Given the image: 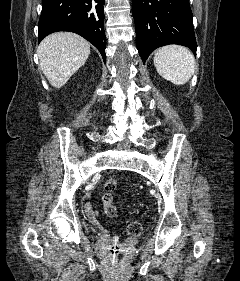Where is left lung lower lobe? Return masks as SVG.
Here are the masks:
<instances>
[{"mask_svg":"<svg viewBox=\"0 0 240 281\" xmlns=\"http://www.w3.org/2000/svg\"><path fill=\"white\" fill-rule=\"evenodd\" d=\"M132 10L143 62L154 49L168 44L189 47L196 54L189 0H133Z\"/></svg>","mask_w":240,"mask_h":281,"instance_id":"obj_1","label":"left lung lower lobe"}]
</instances>
